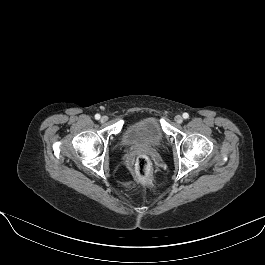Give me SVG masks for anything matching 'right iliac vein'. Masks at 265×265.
Listing matches in <instances>:
<instances>
[{
	"mask_svg": "<svg viewBox=\"0 0 265 265\" xmlns=\"http://www.w3.org/2000/svg\"><path fill=\"white\" fill-rule=\"evenodd\" d=\"M108 121V117L107 116H103L102 118H101V122L102 123H105V122H107Z\"/></svg>",
	"mask_w": 265,
	"mask_h": 265,
	"instance_id": "right-iliac-vein-1",
	"label": "right iliac vein"
}]
</instances>
